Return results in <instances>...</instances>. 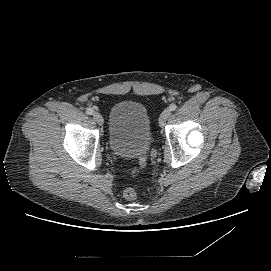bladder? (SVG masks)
<instances>
[{"instance_id":"31cf9c89","label":"bladder","mask_w":271,"mask_h":271,"mask_svg":"<svg viewBox=\"0 0 271 271\" xmlns=\"http://www.w3.org/2000/svg\"><path fill=\"white\" fill-rule=\"evenodd\" d=\"M108 143L112 153L123 159H133L150 150L151 118L144 104L123 100L111 107Z\"/></svg>"}]
</instances>
